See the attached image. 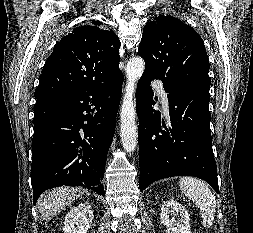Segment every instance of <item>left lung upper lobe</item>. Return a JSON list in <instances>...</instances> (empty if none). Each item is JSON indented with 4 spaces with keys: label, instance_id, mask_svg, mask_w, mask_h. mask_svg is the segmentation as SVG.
Masks as SVG:
<instances>
[{
    "label": "left lung upper lobe",
    "instance_id": "obj_1",
    "mask_svg": "<svg viewBox=\"0 0 253 233\" xmlns=\"http://www.w3.org/2000/svg\"><path fill=\"white\" fill-rule=\"evenodd\" d=\"M138 54L146 73L177 93L200 89L209 92V59L199 34L181 20L159 15L146 23Z\"/></svg>",
    "mask_w": 253,
    "mask_h": 233
}]
</instances>
